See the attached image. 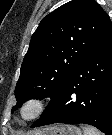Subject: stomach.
<instances>
[{
  "instance_id": "1",
  "label": "stomach",
  "mask_w": 112,
  "mask_h": 135,
  "mask_svg": "<svg viewBox=\"0 0 112 135\" xmlns=\"http://www.w3.org/2000/svg\"><path fill=\"white\" fill-rule=\"evenodd\" d=\"M43 134L41 135H82L81 130L72 125H56L51 126L43 130ZM34 135H40L39 133H35Z\"/></svg>"
}]
</instances>
